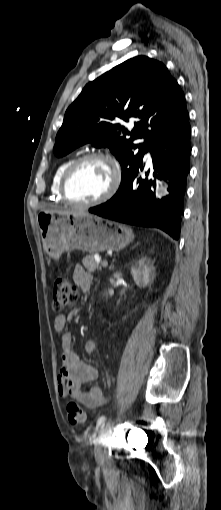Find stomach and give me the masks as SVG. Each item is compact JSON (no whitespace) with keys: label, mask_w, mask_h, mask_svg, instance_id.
I'll use <instances>...</instances> for the list:
<instances>
[{"label":"stomach","mask_w":221,"mask_h":510,"mask_svg":"<svg viewBox=\"0 0 221 510\" xmlns=\"http://www.w3.org/2000/svg\"><path fill=\"white\" fill-rule=\"evenodd\" d=\"M37 222L44 250L54 259L65 251L120 250L134 239L127 226L90 214L42 211Z\"/></svg>","instance_id":"0dacf381"}]
</instances>
